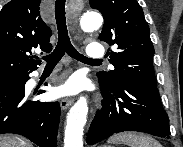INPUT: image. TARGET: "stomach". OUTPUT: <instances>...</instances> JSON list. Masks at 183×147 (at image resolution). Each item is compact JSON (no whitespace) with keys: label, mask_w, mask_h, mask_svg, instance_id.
Wrapping results in <instances>:
<instances>
[{"label":"stomach","mask_w":183,"mask_h":147,"mask_svg":"<svg viewBox=\"0 0 183 147\" xmlns=\"http://www.w3.org/2000/svg\"><path fill=\"white\" fill-rule=\"evenodd\" d=\"M102 147H109V146L104 145V146H102Z\"/></svg>","instance_id":"obj_1"}]
</instances>
